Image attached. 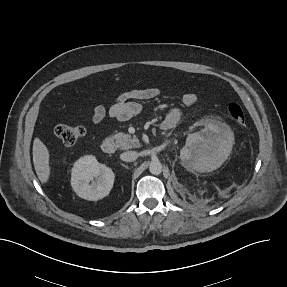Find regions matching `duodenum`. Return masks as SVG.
Instances as JSON below:
<instances>
[{"label":"duodenum","instance_id":"obj_1","mask_svg":"<svg viewBox=\"0 0 287 287\" xmlns=\"http://www.w3.org/2000/svg\"><path fill=\"white\" fill-rule=\"evenodd\" d=\"M101 149L106 154L114 153L115 151L114 141L111 138H106L101 145Z\"/></svg>","mask_w":287,"mask_h":287}]
</instances>
